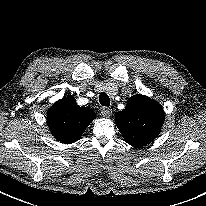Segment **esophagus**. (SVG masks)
I'll return each instance as SVG.
<instances>
[{
	"instance_id": "1",
	"label": "esophagus",
	"mask_w": 206,
	"mask_h": 206,
	"mask_svg": "<svg viewBox=\"0 0 206 206\" xmlns=\"http://www.w3.org/2000/svg\"><path fill=\"white\" fill-rule=\"evenodd\" d=\"M101 115L106 118L110 117L112 115V109L103 107L101 110Z\"/></svg>"
}]
</instances>
